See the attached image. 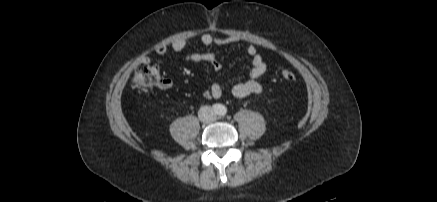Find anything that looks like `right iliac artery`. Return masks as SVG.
Wrapping results in <instances>:
<instances>
[{
    "label": "right iliac artery",
    "mask_w": 437,
    "mask_h": 202,
    "mask_svg": "<svg viewBox=\"0 0 437 202\" xmlns=\"http://www.w3.org/2000/svg\"><path fill=\"white\" fill-rule=\"evenodd\" d=\"M213 110H214L215 112H218V111L220 110V105H218V104H214V105H213Z\"/></svg>",
    "instance_id": "obj_1"
}]
</instances>
